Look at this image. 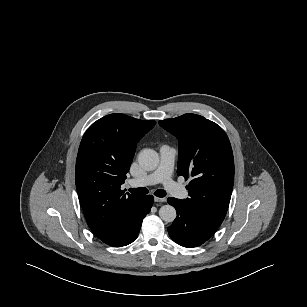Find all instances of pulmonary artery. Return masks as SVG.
<instances>
[{
    "mask_svg": "<svg viewBox=\"0 0 307 307\" xmlns=\"http://www.w3.org/2000/svg\"><path fill=\"white\" fill-rule=\"evenodd\" d=\"M160 163L152 173L136 179H130V187H141L162 183L165 188L177 198L185 199L188 194L185 188L172 180V172L177 157V150L168 145H162L159 150Z\"/></svg>",
    "mask_w": 307,
    "mask_h": 307,
    "instance_id": "obj_1",
    "label": "pulmonary artery"
}]
</instances>
